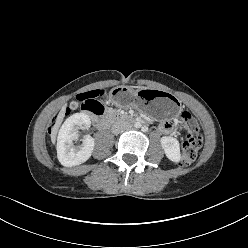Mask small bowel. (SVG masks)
Segmentation results:
<instances>
[{
	"mask_svg": "<svg viewBox=\"0 0 248 248\" xmlns=\"http://www.w3.org/2000/svg\"><path fill=\"white\" fill-rule=\"evenodd\" d=\"M159 129L165 134H172L176 132L175 126L169 122H162Z\"/></svg>",
	"mask_w": 248,
	"mask_h": 248,
	"instance_id": "1",
	"label": "small bowel"
}]
</instances>
